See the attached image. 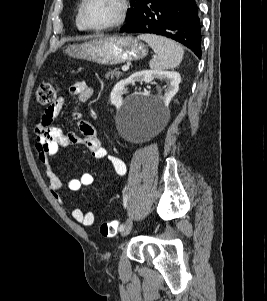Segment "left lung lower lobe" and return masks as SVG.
<instances>
[{"label":"left lung lower lobe","instance_id":"1","mask_svg":"<svg viewBox=\"0 0 267 301\" xmlns=\"http://www.w3.org/2000/svg\"><path fill=\"white\" fill-rule=\"evenodd\" d=\"M120 31L166 36L201 58V25L195 0H145L136 19Z\"/></svg>","mask_w":267,"mask_h":301}]
</instances>
